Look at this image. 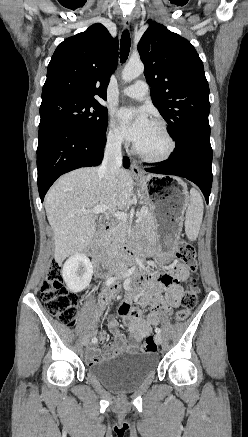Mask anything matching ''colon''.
<instances>
[{"mask_svg": "<svg viewBox=\"0 0 248 437\" xmlns=\"http://www.w3.org/2000/svg\"><path fill=\"white\" fill-rule=\"evenodd\" d=\"M176 255L192 272L196 271L195 249L190 243L182 239L177 240ZM40 292L44 306L51 315L57 317L68 327L76 324L78 299L74 293L66 288L62 275V267L58 263L54 262L49 266L41 284ZM198 294L197 279L193 278L182 297V308L176 312L175 319L177 321L181 322L188 318L191 310L197 304ZM141 350L144 353L157 351V344L152 336H147Z\"/></svg>", "mask_w": 248, "mask_h": 437, "instance_id": "5ec220e1", "label": "colon"}]
</instances>
